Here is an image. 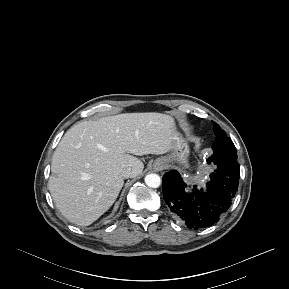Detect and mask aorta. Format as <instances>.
Listing matches in <instances>:
<instances>
[{
  "mask_svg": "<svg viewBox=\"0 0 289 289\" xmlns=\"http://www.w3.org/2000/svg\"><path fill=\"white\" fill-rule=\"evenodd\" d=\"M145 183L151 188H157L161 184V178L157 174H148L145 176Z\"/></svg>",
  "mask_w": 289,
  "mask_h": 289,
  "instance_id": "1",
  "label": "aorta"
}]
</instances>
